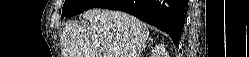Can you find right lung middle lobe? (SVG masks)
Instances as JSON below:
<instances>
[{"label": "right lung middle lobe", "instance_id": "right-lung-middle-lobe-1", "mask_svg": "<svg viewBox=\"0 0 249 57\" xmlns=\"http://www.w3.org/2000/svg\"><path fill=\"white\" fill-rule=\"evenodd\" d=\"M107 1L108 0H65L62 8L61 18L65 16L71 17L82 13L85 10L100 7V5Z\"/></svg>", "mask_w": 249, "mask_h": 57}]
</instances>
